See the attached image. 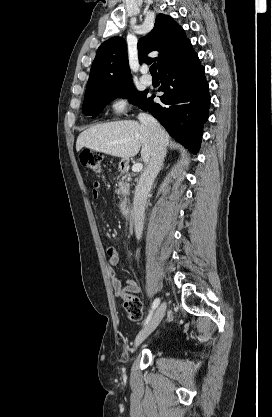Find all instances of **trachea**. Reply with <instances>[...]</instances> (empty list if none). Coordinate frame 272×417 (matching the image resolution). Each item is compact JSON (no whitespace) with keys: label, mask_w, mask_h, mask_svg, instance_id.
<instances>
[{"label":"trachea","mask_w":272,"mask_h":417,"mask_svg":"<svg viewBox=\"0 0 272 417\" xmlns=\"http://www.w3.org/2000/svg\"><path fill=\"white\" fill-rule=\"evenodd\" d=\"M150 73H151V75H157L156 63H154L150 66Z\"/></svg>","instance_id":"obj_1"}]
</instances>
